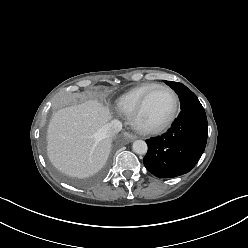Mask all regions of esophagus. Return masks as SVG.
Returning <instances> with one entry per match:
<instances>
[{
	"instance_id": "esophagus-1",
	"label": "esophagus",
	"mask_w": 248,
	"mask_h": 248,
	"mask_svg": "<svg viewBox=\"0 0 248 248\" xmlns=\"http://www.w3.org/2000/svg\"><path fill=\"white\" fill-rule=\"evenodd\" d=\"M126 137H127L130 141H133V140L137 139V136L134 135V134H131V133H127V134H126Z\"/></svg>"
}]
</instances>
